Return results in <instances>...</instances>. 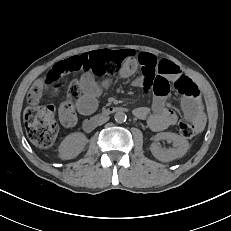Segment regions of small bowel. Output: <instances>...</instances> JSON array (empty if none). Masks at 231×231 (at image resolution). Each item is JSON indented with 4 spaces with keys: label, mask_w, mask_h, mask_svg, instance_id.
I'll return each mask as SVG.
<instances>
[{
    "label": "small bowel",
    "mask_w": 231,
    "mask_h": 231,
    "mask_svg": "<svg viewBox=\"0 0 231 231\" xmlns=\"http://www.w3.org/2000/svg\"><path fill=\"white\" fill-rule=\"evenodd\" d=\"M140 68L135 83L144 93L155 92V80L161 78L171 83L183 75L173 62L148 52L137 53L129 49L97 50L70 57L55 64L47 76L62 77L68 73L80 72L70 86L67 97L59 107L61 123L71 128L77 123V113L89 114L96 108V96L117 79L128 78ZM102 77V79H99ZM186 118L193 122L198 131L205 125V114L201 99L185 97L182 101ZM135 116L146 121L154 131H163L174 125L178 116L167 107L165 96L156 94L152 106H141L134 110Z\"/></svg>",
    "instance_id": "c3829d8e"
}]
</instances>
